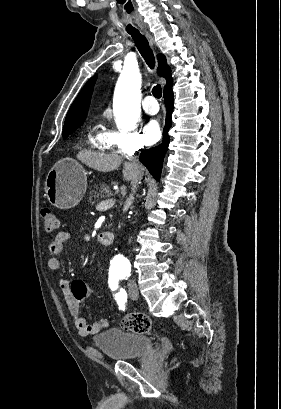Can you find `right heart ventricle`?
I'll return each mask as SVG.
<instances>
[{"mask_svg":"<svg viewBox=\"0 0 281 409\" xmlns=\"http://www.w3.org/2000/svg\"><path fill=\"white\" fill-rule=\"evenodd\" d=\"M91 144L92 148L100 154H105L113 150L109 131L101 124H98L93 128L91 134ZM121 151L125 150L121 149Z\"/></svg>","mask_w":281,"mask_h":409,"instance_id":"obj_1","label":"right heart ventricle"}]
</instances>
